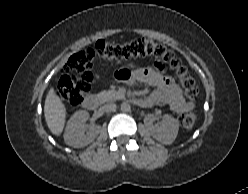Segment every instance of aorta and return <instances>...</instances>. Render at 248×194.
<instances>
[{"instance_id": "1", "label": "aorta", "mask_w": 248, "mask_h": 194, "mask_svg": "<svg viewBox=\"0 0 248 194\" xmlns=\"http://www.w3.org/2000/svg\"><path fill=\"white\" fill-rule=\"evenodd\" d=\"M131 110L130 104L124 102L121 104V111L122 112H129Z\"/></svg>"}]
</instances>
